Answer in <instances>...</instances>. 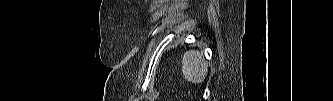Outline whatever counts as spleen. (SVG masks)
<instances>
[{
  "instance_id": "3e777b00",
  "label": "spleen",
  "mask_w": 333,
  "mask_h": 101,
  "mask_svg": "<svg viewBox=\"0 0 333 101\" xmlns=\"http://www.w3.org/2000/svg\"><path fill=\"white\" fill-rule=\"evenodd\" d=\"M182 72L185 78L195 84L202 83L208 72V64L203 54L199 51L191 50L184 54L182 60Z\"/></svg>"
}]
</instances>
